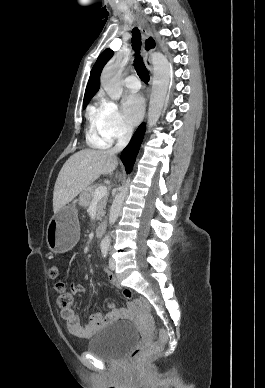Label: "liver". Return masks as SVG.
<instances>
[{
	"mask_svg": "<svg viewBox=\"0 0 265 388\" xmlns=\"http://www.w3.org/2000/svg\"><path fill=\"white\" fill-rule=\"evenodd\" d=\"M117 166L118 160L109 150H80L77 154H73L61 168L54 186V214L72 202L99 176L112 174Z\"/></svg>",
	"mask_w": 265,
	"mask_h": 388,
	"instance_id": "liver-1",
	"label": "liver"
}]
</instances>
